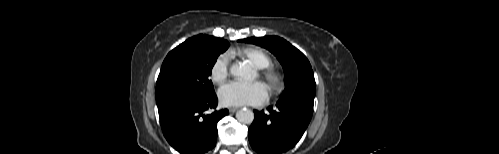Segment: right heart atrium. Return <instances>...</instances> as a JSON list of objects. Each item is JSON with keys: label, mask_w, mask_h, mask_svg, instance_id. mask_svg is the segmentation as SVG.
<instances>
[{"label": "right heart atrium", "mask_w": 499, "mask_h": 154, "mask_svg": "<svg viewBox=\"0 0 499 154\" xmlns=\"http://www.w3.org/2000/svg\"><path fill=\"white\" fill-rule=\"evenodd\" d=\"M229 76V62L225 56H219L210 69L211 80L217 84L223 83Z\"/></svg>", "instance_id": "obj_1"}]
</instances>
